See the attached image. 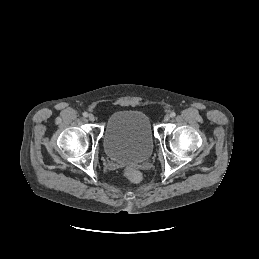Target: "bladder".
Returning <instances> with one entry per match:
<instances>
[{"label": "bladder", "mask_w": 259, "mask_h": 259, "mask_svg": "<svg viewBox=\"0 0 259 259\" xmlns=\"http://www.w3.org/2000/svg\"><path fill=\"white\" fill-rule=\"evenodd\" d=\"M153 142L150 119L142 111L120 110L111 114L106 121L103 148L111 160L143 162L151 155Z\"/></svg>", "instance_id": "1"}]
</instances>
